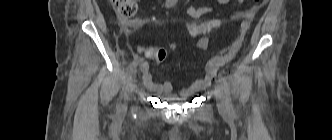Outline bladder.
Masks as SVG:
<instances>
[{"label":"bladder","instance_id":"1","mask_svg":"<svg viewBox=\"0 0 332 140\" xmlns=\"http://www.w3.org/2000/svg\"><path fill=\"white\" fill-rule=\"evenodd\" d=\"M186 102H189V99H187V100H182V101H177V102H174V103H175V104H180V103L184 104V103H186Z\"/></svg>","mask_w":332,"mask_h":140}]
</instances>
